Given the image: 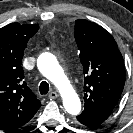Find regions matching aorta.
<instances>
[{
	"instance_id": "762f6f07",
	"label": "aorta",
	"mask_w": 133,
	"mask_h": 133,
	"mask_svg": "<svg viewBox=\"0 0 133 133\" xmlns=\"http://www.w3.org/2000/svg\"><path fill=\"white\" fill-rule=\"evenodd\" d=\"M37 66L41 74L60 92L65 110L71 115H78L81 112V101L56 57L44 53L39 56Z\"/></svg>"
}]
</instances>
